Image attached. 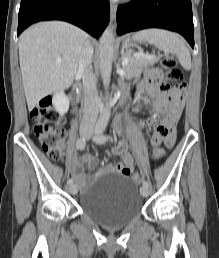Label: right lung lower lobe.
<instances>
[{
  "label": "right lung lower lobe",
  "mask_w": 219,
  "mask_h": 258,
  "mask_svg": "<svg viewBox=\"0 0 219 258\" xmlns=\"http://www.w3.org/2000/svg\"><path fill=\"white\" fill-rule=\"evenodd\" d=\"M109 18L108 0H22L17 35L38 21L63 20L79 26L98 39Z\"/></svg>",
  "instance_id": "obj_1"
}]
</instances>
